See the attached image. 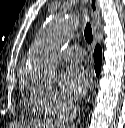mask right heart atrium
I'll return each instance as SVG.
<instances>
[{"label": "right heart atrium", "instance_id": "1", "mask_svg": "<svg viewBox=\"0 0 125 128\" xmlns=\"http://www.w3.org/2000/svg\"><path fill=\"white\" fill-rule=\"evenodd\" d=\"M30 95L44 113L56 115L72 106L66 98L51 84H37L30 87Z\"/></svg>", "mask_w": 125, "mask_h": 128}]
</instances>
